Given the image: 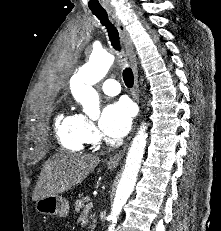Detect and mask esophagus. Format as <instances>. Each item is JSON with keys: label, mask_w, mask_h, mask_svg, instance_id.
<instances>
[{"label": "esophagus", "mask_w": 221, "mask_h": 231, "mask_svg": "<svg viewBox=\"0 0 221 231\" xmlns=\"http://www.w3.org/2000/svg\"><path fill=\"white\" fill-rule=\"evenodd\" d=\"M111 15H112V18L114 19V21L117 25V28H118V31L120 33L122 42L125 46L126 52H127L129 59H130V63H131L133 75H134L133 97L138 102L139 101V83H138L137 59H136V54L134 51V46H133L132 40L130 38L129 32L127 31L122 20L117 16V14L114 11H111ZM126 147H127V145H125L122 150L117 152L114 156H112L108 160V163H107L108 166L115 167L119 164V162L121 161V159L125 153Z\"/></svg>", "instance_id": "obj_1"}]
</instances>
